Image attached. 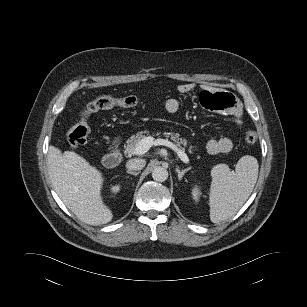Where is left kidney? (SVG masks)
<instances>
[{"label": "left kidney", "instance_id": "obj_1", "mask_svg": "<svg viewBox=\"0 0 307 307\" xmlns=\"http://www.w3.org/2000/svg\"><path fill=\"white\" fill-rule=\"evenodd\" d=\"M192 195H193V198L197 201L198 197H199V190H198V188L193 189Z\"/></svg>", "mask_w": 307, "mask_h": 307}]
</instances>
